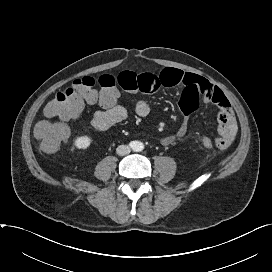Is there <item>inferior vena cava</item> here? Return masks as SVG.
<instances>
[{"label": "inferior vena cava", "instance_id": "602c4592", "mask_svg": "<svg viewBox=\"0 0 272 272\" xmlns=\"http://www.w3.org/2000/svg\"><path fill=\"white\" fill-rule=\"evenodd\" d=\"M116 152L118 155L124 156V155L129 154L131 152V149L127 145H120L117 147Z\"/></svg>", "mask_w": 272, "mask_h": 272}]
</instances>
